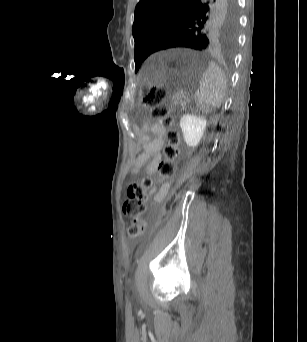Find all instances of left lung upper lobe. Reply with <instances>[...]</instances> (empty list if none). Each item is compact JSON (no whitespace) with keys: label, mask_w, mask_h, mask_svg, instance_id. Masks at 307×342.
<instances>
[{"label":"left lung upper lobe","mask_w":307,"mask_h":342,"mask_svg":"<svg viewBox=\"0 0 307 342\" xmlns=\"http://www.w3.org/2000/svg\"><path fill=\"white\" fill-rule=\"evenodd\" d=\"M236 0H140L132 33L136 71L153 52L190 48L202 52L234 50Z\"/></svg>","instance_id":"1"}]
</instances>
